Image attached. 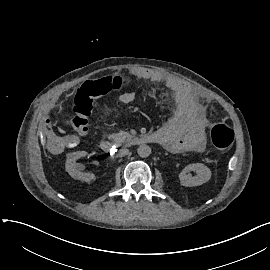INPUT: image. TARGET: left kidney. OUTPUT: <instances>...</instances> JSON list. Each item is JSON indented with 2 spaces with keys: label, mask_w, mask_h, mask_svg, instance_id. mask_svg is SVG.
<instances>
[{
  "label": "left kidney",
  "mask_w": 270,
  "mask_h": 270,
  "mask_svg": "<svg viewBox=\"0 0 270 270\" xmlns=\"http://www.w3.org/2000/svg\"><path fill=\"white\" fill-rule=\"evenodd\" d=\"M190 171H195L197 175L192 176L189 173ZM210 178L211 170L202 163L189 164L179 174L181 185L186 187L202 185L203 183H206Z\"/></svg>",
  "instance_id": "1"
}]
</instances>
